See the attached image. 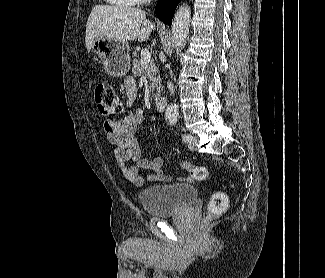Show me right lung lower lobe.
I'll return each instance as SVG.
<instances>
[{
	"label": "right lung lower lobe",
	"instance_id": "98d812e1",
	"mask_svg": "<svg viewBox=\"0 0 325 278\" xmlns=\"http://www.w3.org/2000/svg\"><path fill=\"white\" fill-rule=\"evenodd\" d=\"M180 1L181 0H158L155 8L157 17L171 26L175 8Z\"/></svg>",
	"mask_w": 325,
	"mask_h": 278
}]
</instances>
